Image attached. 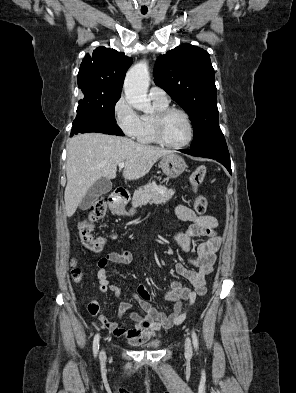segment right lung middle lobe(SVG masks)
<instances>
[{"label": "right lung middle lobe", "mask_w": 296, "mask_h": 393, "mask_svg": "<svg viewBox=\"0 0 296 393\" xmlns=\"http://www.w3.org/2000/svg\"><path fill=\"white\" fill-rule=\"evenodd\" d=\"M120 94L108 96H84L79 101L77 115L80 117L94 116L104 121L116 124L115 104L120 98Z\"/></svg>", "instance_id": "obj_1"}]
</instances>
